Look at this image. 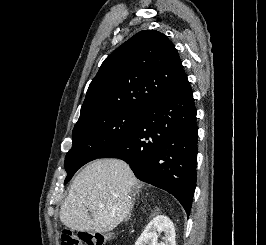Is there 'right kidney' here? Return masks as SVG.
<instances>
[{
    "mask_svg": "<svg viewBox=\"0 0 266 245\" xmlns=\"http://www.w3.org/2000/svg\"><path fill=\"white\" fill-rule=\"evenodd\" d=\"M160 233H164V243H158ZM135 245H176L172 221L165 215H157L146 225Z\"/></svg>",
    "mask_w": 266,
    "mask_h": 245,
    "instance_id": "1",
    "label": "right kidney"
}]
</instances>
